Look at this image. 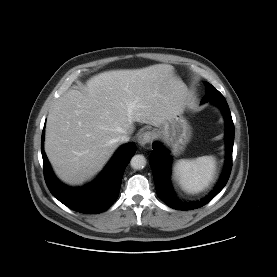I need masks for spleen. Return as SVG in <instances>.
I'll list each match as a JSON object with an SVG mask.
<instances>
[{
  "label": "spleen",
  "instance_id": "obj_1",
  "mask_svg": "<svg viewBox=\"0 0 277 277\" xmlns=\"http://www.w3.org/2000/svg\"><path fill=\"white\" fill-rule=\"evenodd\" d=\"M174 170L175 178L184 191L199 193L213 181L216 160L213 156L181 159L175 163Z\"/></svg>",
  "mask_w": 277,
  "mask_h": 277
}]
</instances>
